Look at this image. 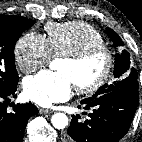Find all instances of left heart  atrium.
Masks as SVG:
<instances>
[{"label": "left heart atrium", "mask_w": 142, "mask_h": 142, "mask_svg": "<svg viewBox=\"0 0 142 142\" xmlns=\"http://www.w3.org/2000/svg\"><path fill=\"white\" fill-rule=\"evenodd\" d=\"M73 82L63 72L41 71L24 81V92L28 99L41 106H50L55 102L69 98Z\"/></svg>", "instance_id": "39dd6f15"}]
</instances>
